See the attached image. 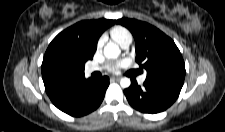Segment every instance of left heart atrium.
<instances>
[{"instance_id":"left-heart-atrium-1","label":"left heart atrium","mask_w":225,"mask_h":132,"mask_svg":"<svg viewBox=\"0 0 225 132\" xmlns=\"http://www.w3.org/2000/svg\"><path fill=\"white\" fill-rule=\"evenodd\" d=\"M123 64L124 61L113 62L108 65L107 69L111 72H116Z\"/></svg>"}]
</instances>
